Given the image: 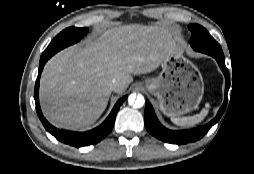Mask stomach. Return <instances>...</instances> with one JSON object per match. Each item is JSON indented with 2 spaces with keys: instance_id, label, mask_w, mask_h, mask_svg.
Instances as JSON below:
<instances>
[{
  "instance_id": "obj_1",
  "label": "stomach",
  "mask_w": 254,
  "mask_h": 174,
  "mask_svg": "<svg viewBox=\"0 0 254 174\" xmlns=\"http://www.w3.org/2000/svg\"><path fill=\"white\" fill-rule=\"evenodd\" d=\"M161 67L156 78L144 81L146 90L157 97L160 110L167 116L177 117L196 109L204 94L198 68L179 50L167 53Z\"/></svg>"
}]
</instances>
